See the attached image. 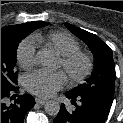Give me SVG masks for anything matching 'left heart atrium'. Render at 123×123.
<instances>
[{"label": "left heart atrium", "mask_w": 123, "mask_h": 123, "mask_svg": "<svg viewBox=\"0 0 123 123\" xmlns=\"http://www.w3.org/2000/svg\"><path fill=\"white\" fill-rule=\"evenodd\" d=\"M66 84L62 71L37 70L26 76L25 86L31 93L47 98L54 95Z\"/></svg>", "instance_id": "left-heart-atrium-1"}]
</instances>
